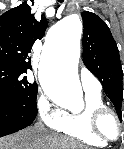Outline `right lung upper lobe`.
I'll use <instances>...</instances> for the list:
<instances>
[{"mask_svg": "<svg viewBox=\"0 0 124 149\" xmlns=\"http://www.w3.org/2000/svg\"><path fill=\"white\" fill-rule=\"evenodd\" d=\"M47 27L42 16L38 23L26 2L0 16V66L27 72L31 69L30 53Z\"/></svg>", "mask_w": 124, "mask_h": 149, "instance_id": "cb5924a9", "label": "right lung upper lobe"}]
</instances>
